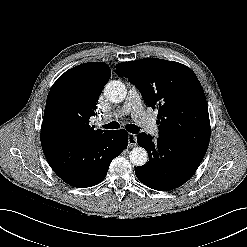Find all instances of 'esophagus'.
<instances>
[{
    "label": "esophagus",
    "mask_w": 247,
    "mask_h": 247,
    "mask_svg": "<svg viewBox=\"0 0 247 247\" xmlns=\"http://www.w3.org/2000/svg\"><path fill=\"white\" fill-rule=\"evenodd\" d=\"M137 145V138L135 134L129 133L128 134V146L135 147Z\"/></svg>",
    "instance_id": "obj_1"
}]
</instances>
